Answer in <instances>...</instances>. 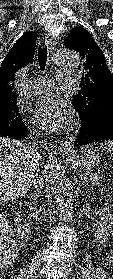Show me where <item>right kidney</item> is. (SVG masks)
<instances>
[{
	"mask_svg": "<svg viewBox=\"0 0 113 279\" xmlns=\"http://www.w3.org/2000/svg\"><path fill=\"white\" fill-rule=\"evenodd\" d=\"M15 227L20 236V239L24 242L27 241L30 236V226L29 224L21 217V212L16 213Z\"/></svg>",
	"mask_w": 113,
	"mask_h": 279,
	"instance_id": "right-kidney-1",
	"label": "right kidney"
}]
</instances>
